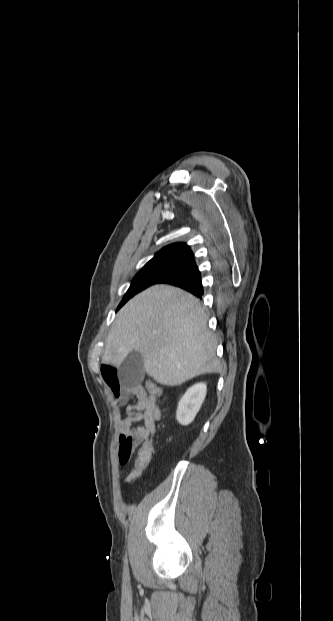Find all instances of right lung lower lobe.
<instances>
[{
    "label": "right lung lower lobe",
    "instance_id": "1",
    "mask_svg": "<svg viewBox=\"0 0 333 621\" xmlns=\"http://www.w3.org/2000/svg\"><path fill=\"white\" fill-rule=\"evenodd\" d=\"M157 283H166L183 288L197 297L203 295L201 275L193 257L189 258L174 272L161 278Z\"/></svg>",
    "mask_w": 333,
    "mask_h": 621
}]
</instances>
